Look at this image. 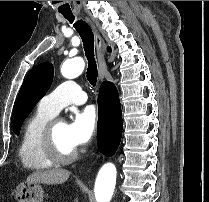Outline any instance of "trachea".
Returning a JSON list of instances; mask_svg holds the SVG:
<instances>
[{
    "label": "trachea",
    "instance_id": "3493384b",
    "mask_svg": "<svg viewBox=\"0 0 209 202\" xmlns=\"http://www.w3.org/2000/svg\"><path fill=\"white\" fill-rule=\"evenodd\" d=\"M63 16L70 23H73V21L75 20V16L72 14ZM73 26L82 39L85 56L88 60V67L86 72L87 80L93 87H95L97 83L98 70L94 54V34L91 27L83 20L76 21Z\"/></svg>",
    "mask_w": 209,
    "mask_h": 202
}]
</instances>
